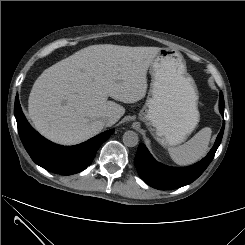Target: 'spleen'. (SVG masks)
I'll list each match as a JSON object with an SVG mask.
<instances>
[{
  "label": "spleen",
  "mask_w": 245,
  "mask_h": 245,
  "mask_svg": "<svg viewBox=\"0 0 245 245\" xmlns=\"http://www.w3.org/2000/svg\"><path fill=\"white\" fill-rule=\"evenodd\" d=\"M211 134V128H202L183 145L168 148L170 157L181 166L191 165L199 161L208 152Z\"/></svg>",
  "instance_id": "spleen-1"
}]
</instances>
